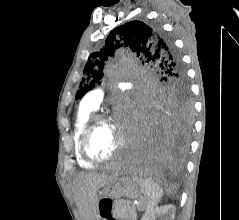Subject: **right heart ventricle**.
Segmentation results:
<instances>
[{
  "instance_id": "1",
  "label": "right heart ventricle",
  "mask_w": 239,
  "mask_h": 220,
  "mask_svg": "<svg viewBox=\"0 0 239 220\" xmlns=\"http://www.w3.org/2000/svg\"><path fill=\"white\" fill-rule=\"evenodd\" d=\"M92 111L93 110L86 109L81 106L77 111L73 128L74 153L78 164L83 168H91L93 166V163L89 162L83 157L80 149L81 132L85 124L87 123L88 119L90 118Z\"/></svg>"
}]
</instances>
